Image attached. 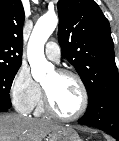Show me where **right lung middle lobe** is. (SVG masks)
Returning a JSON list of instances; mask_svg holds the SVG:
<instances>
[{"label": "right lung middle lobe", "instance_id": "1", "mask_svg": "<svg viewBox=\"0 0 119 141\" xmlns=\"http://www.w3.org/2000/svg\"><path fill=\"white\" fill-rule=\"evenodd\" d=\"M20 66L0 65V104L10 106V88Z\"/></svg>", "mask_w": 119, "mask_h": 141}]
</instances>
